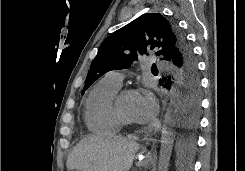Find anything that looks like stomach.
Instances as JSON below:
<instances>
[{
	"instance_id": "obj_1",
	"label": "stomach",
	"mask_w": 245,
	"mask_h": 171,
	"mask_svg": "<svg viewBox=\"0 0 245 171\" xmlns=\"http://www.w3.org/2000/svg\"><path fill=\"white\" fill-rule=\"evenodd\" d=\"M141 166H147L149 164V160H147L146 158H142V159H139V162H138Z\"/></svg>"
}]
</instances>
